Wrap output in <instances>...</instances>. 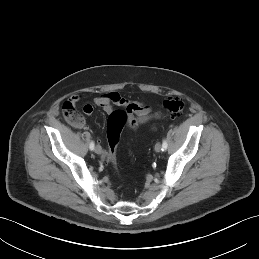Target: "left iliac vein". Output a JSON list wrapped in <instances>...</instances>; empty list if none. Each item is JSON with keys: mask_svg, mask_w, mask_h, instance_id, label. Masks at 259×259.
<instances>
[{"mask_svg": "<svg viewBox=\"0 0 259 259\" xmlns=\"http://www.w3.org/2000/svg\"><path fill=\"white\" fill-rule=\"evenodd\" d=\"M156 152H160L162 150V146L160 143H156L155 147H154Z\"/></svg>", "mask_w": 259, "mask_h": 259, "instance_id": "obj_1", "label": "left iliac vein"}]
</instances>
